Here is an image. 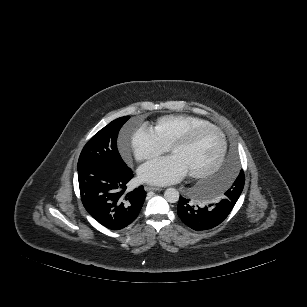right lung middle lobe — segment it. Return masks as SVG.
<instances>
[{
    "mask_svg": "<svg viewBox=\"0 0 307 307\" xmlns=\"http://www.w3.org/2000/svg\"><path fill=\"white\" fill-rule=\"evenodd\" d=\"M129 118L124 116L115 119L87 142L78 160V170L95 165L115 170L127 167L118 152L116 140L119 130Z\"/></svg>",
    "mask_w": 307,
    "mask_h": 307,
    "instance_id": "right-lung-middle-lobe-1",
    "label": "right lung middle lobe"
}]
</instances>
